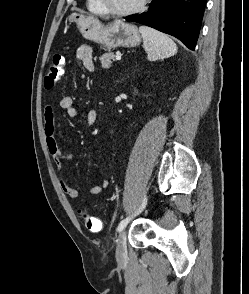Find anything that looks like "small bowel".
<instances>
[{
  "label": "small bowel",
  "instance_id": "obj_1",
  "mask_svg": "<svg viewBox=\"0 0 249 294\" xmlns=\"http://www.w3.org/2000/svg\"><path fill=\"white\" fill-rule=\"evenodd\" d=\"M76 58L80 60L88 71L95 69L93 61V49L88 44H82L76 51ZM60 107L65 110L67 115L71 118H78L81 116V111L75 106L72 98L69 95H63L60 100ZM84 119L87 126L91 127L96 123L97 114L94 109H88L84 113ZM55 114L52 106L48 105L44 112V136L48 152L58 168V183L60 189L70 199H77L79 197V190L71 186L65 179L62 173V166L65 161H69L74 157V152H63L58 144L55 136ZM109 186L107 179L101 180L95 185H91L86 194L88 196H95L102 193Z\"/></svg>",
  "mask_w": 249,
  "mask_h": 294
}]
</instances>
